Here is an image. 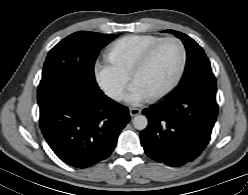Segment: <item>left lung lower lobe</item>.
I'll list each match as a JSON object with an SVG mask.
<instances>
[{
    "label": "left lung lower lobe",
    "mask_w": 248,
    "mask_h": 195,
    "mask_svg": "<svg viewBox=\"0 0 248 195\" xmlns=\"http://www.w3.org/2000/svg\"><path fill=\"white\" fill-rule=\"evenodd\" d=\"M148 127L140 133L145 153L157 162L181 166L207 146L218 114L216 86L181 91L146 108Z\"/></svg>",
    "instance_id": "obj_1"
}]
</instances>
